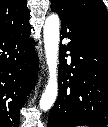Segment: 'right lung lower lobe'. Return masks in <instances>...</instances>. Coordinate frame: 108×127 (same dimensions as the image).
Instances as JSON below:
<instances>
[{"label":"right lung lower lobe","mask_w":108,"mask_h":127,"mask_svg":"<svg viewBox=\"0 0 108 127\" xmlns=\"http://www.w3.org/2000/svg\"><path fill=\"white\" fill-rule=\"evenodd\" d=\"M31 26L0 34V127H18L38 71Z\"/></svg>","instance_id":"obj_1"}]
</instances>
